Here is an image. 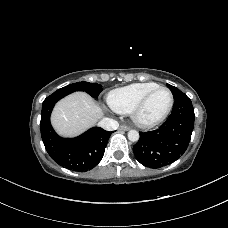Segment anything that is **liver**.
Here are the masks:
<instances>
[{"label": "liver", "instance_id": "1", "mask_svg": "<svg viewBox=\"0 0 228 228\" xmlns=\"http://www.w3.org/2000/svg\"><path fill=\"white\" fill-rule=\"evenodd\" d=\"M102 116V109L91 96L75 92L56 104L51 122L59 135L75 137L95 125Z\"/></svg>", "mask_w": 228, "mask_h": 228}]
</instances>
